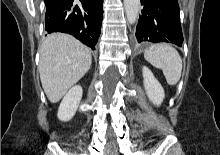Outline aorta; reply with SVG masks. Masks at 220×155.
I'll list each match as a JSON object with an SVG mask.
<instances>
[{
  "instance_id": "obj_1",
  "label": "aorta",
  "mask_w": 220,
  "mask_h": 155,
  "mask_svg": "<svg viewBox=\"0 0 220 155\" xmlns=\"http://www.w3.org/2000/svg\"><path fill=\"white\" fill-rule=\"evenodd\" d=\"M126 18L129 24H134L138 18L140 0H124Z\"/></svg>"
}]
</instances>
